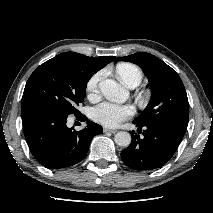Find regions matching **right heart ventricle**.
I'll return each mask as SVG.
<instances>
[{
	"mask_svg": "<svg viewBox=\"0 0 213 213\" xmlns=\"http://www.w3.org/2000/svg\"><path fill=\"white\" fill-rule=\"evenodd\" d=\"M116 73L120 81L128 87L137 86L142 80V71L132 63H119Z\"/></svg>",
	"mask_w": 213,
	"mask_h": 213,
	"instance_id": "e07e8e85",
	"label": "right heart ventricle"
}]
</instances>
